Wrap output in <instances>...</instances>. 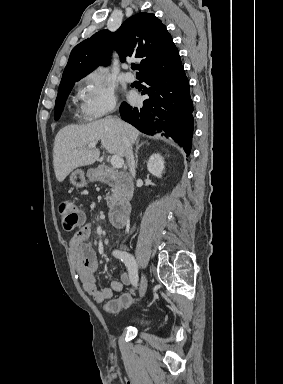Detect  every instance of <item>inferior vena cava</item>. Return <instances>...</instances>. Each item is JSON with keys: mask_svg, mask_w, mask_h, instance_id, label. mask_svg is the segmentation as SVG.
Wrapping results in <instances>:
<instances>
[{"mask_svg": "<svg viewBox=\"0 0 283 384\" xmlns=\"http://www.w3.org/2000/svg\"><path fill=\"white\" fill-rule=\"evenodd\" d=\"M112 110H114V108H112ZM123 144L125 146V156H126L129 172L132 178H135L136 172H135V162H134L132 144L130 140H128L127 136H123Z\"/></svg>", "mask_w": 283, "mask_h": 384, "instance_id": "602c4592", "label": "inferior vena cava"}]
</instances>
